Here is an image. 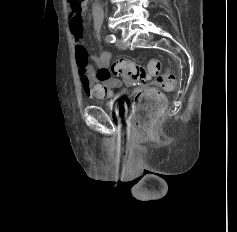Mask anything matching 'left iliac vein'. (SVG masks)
<instances>
[{
    "label": "left iliac vein",
    "instance_id": "obj_1",
    "mask_svg": "<svg viewBox=\"0 0 237 232\" xmlns=\"http://www.w3.org/2000/svg\"><path fill=\"white\" fill-rule=\"evenodd\" d=\"M116 47L119 48V49H125L126 48V46L124 45V43L122 42L121 39L116 40Z\"/></svg>",
    "mask_w": 237,
    "mask_h": 232
}]
</instances>
